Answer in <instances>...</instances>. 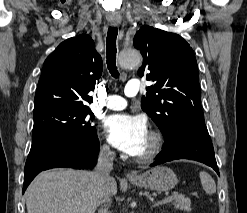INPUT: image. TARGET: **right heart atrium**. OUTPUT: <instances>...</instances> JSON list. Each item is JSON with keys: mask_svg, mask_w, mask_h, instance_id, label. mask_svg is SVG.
Returning <instances> with one entry per match:
<instances>
[{"mask_svg": "<svg viewBox=\"0 0 247 213\" xmlns=\"http://www.w3.org/2000/svg\"><path fill=\"white\" fill-rule=\"evenodd\" d=\"M100 153L104 157H111V156H113L114 152H113V149H112V147H111V145H110V143L108 141H104L101 144Z\"/></svg>", "mask_w": 247, "mask_h": 213, "instance_id": "obj_1", "label": "right heart atrium"}]
</instances>
